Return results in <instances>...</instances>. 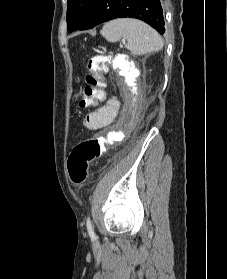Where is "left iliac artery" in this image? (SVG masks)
Segmentation results:
<instances>
[{
	"mask_svg": "<svg viewBox=\"0 0 227 279\" xmlns=\"http://www.w3.org/2000/svg\"><path fill=\"white\" fill-rule=\"evenodd\" d=\"M86 226H87V230H88L89 235L91 237H95L94 229H93V226H92V221H91L89 216L86 219Z\"/></svg>",
	"mask_w": 227,
	"mask_h": 279,
	"instance_id": "obj_1",
	"label": "left iliac artery"
}]
</instances>
